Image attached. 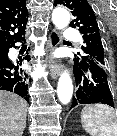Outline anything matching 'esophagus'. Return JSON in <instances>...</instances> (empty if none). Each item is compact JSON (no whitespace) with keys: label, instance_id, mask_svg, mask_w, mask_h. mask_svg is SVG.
I'll return each mask as SVG.
<instances>
[{"label":"esophagus","instance_id":"34e87169","mask_svg":"<svg viewBox=\"0 0 117 136\" xmlns=\"http://www.w3.org/2000/svg\"><path fill=\"white\" fill-rule=\"evenodd\" d=\"M60 43V36L59 33L53 29L50 32V40H49V52L52 56V53L54 50L58 47ZM61 72V63L57 59L51 58V64H50V75L53 79H57V77L60 75Z\"/></svg>","mask_w":117,"mask_h":136}]
</instances>
